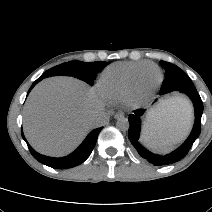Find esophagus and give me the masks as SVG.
Instances as JSON below:
<instances>
[{
  "mask_svg": "<svg viewBox=\"0 0 212 212\" xmlns=\"http://www.w3.org/2000/svg\"><path fill=\"white\" fill-rule=\"evenodd\" d=\"M124 117V113L122 111H118L114 114L115 119H120Z\"/></svg>",
  "mask_w": 212,
  "mask_h": 212,
  "instance_id": "34e87169",
  "label": "esophagus"
}]
</instances>
